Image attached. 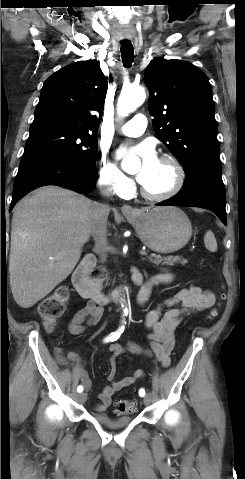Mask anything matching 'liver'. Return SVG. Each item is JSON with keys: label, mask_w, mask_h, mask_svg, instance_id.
<instances>
[{"label": "liver", "mask_w": 245, "mask_h": 479, "mask_svg": "<svg viewBox=\"0 0 245 479\" xmlns=\"http://www.w3.org/2000/svg\"><path fill=\"white\" fill-rule=\"evenodd\" d=\"M90 203L57 186L41 187L17 203L9 272L20 307H32L71 274L91 235Z\"/></svg>", "instance_id": "6515ba94"}]
</instances>
